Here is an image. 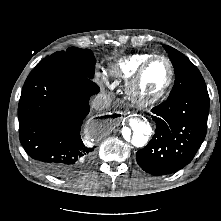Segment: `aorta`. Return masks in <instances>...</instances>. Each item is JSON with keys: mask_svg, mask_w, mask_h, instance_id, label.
<instances>
[{"mask_svg": "<svg viewBox=\"0 0 221 221\" xmlns=\"http://www.w3.org/2000/svg\"><path fill=\"white\" fill-rule=\"evenodd\" d=\"M150 133V124L140 117H134L129 120V126L123 127L122 139L135 147H143Z\"/></svg>", "mask_w": 221, "mask_h": 221, "instance_id": "1", "label": "aorta"}]
</instances>
